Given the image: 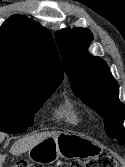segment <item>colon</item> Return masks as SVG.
<instances>
[{"label": "colon", "mask_w": 125, "mask_h": 167, "mask_svg": "<svg viewBox=\"0 0 125 167\" xmlns=\"http://www.w3.org/2000/svg\"><path fill=\"white\" fill-rule=\"evenodd\" d=\"M9 167H37V166L30 164L26 160H17ZM48 167H117V161L114 156L103 153L89 159L58 162L56 165H51Z\"/></svg>", "instance_id": "1"}]
</instances>
